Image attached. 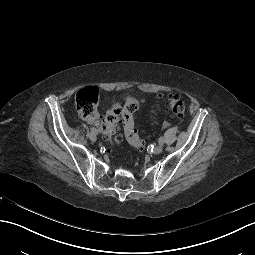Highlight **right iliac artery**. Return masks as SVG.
I'll list each match as a JSON object with an SVG mask.
<instances>
[{
    "instance_id": "right-iliac-artery-1",
    "label": "right iliac artery",
    "mask_w": 255,
    "mask_h": 255,
    "mask_svg": "<svg viewBox=\"0 0 255 255\" xmlns=\"http://www.w3.org/2000/svg\"><path fill=\"white\" fill-rule=\"evenodd\" d=\"M91 132H93V133H96V134H97V129H96V128H94V127H91Z\"/></svg>"
}]
</instances>
